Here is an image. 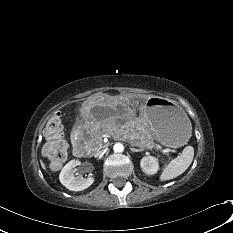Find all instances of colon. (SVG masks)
Segmentation results:
<instances>
[{
    "mask_svg": "<svg viewBox=\"0 0 233 233\" xmlns=\"http://www.w3.org/2000/svg\"><path fill=\"white\" fill-rule=\"evenodd\" d=\"M44 134L47 140L43 152L53 167H60L67 157V144L62 136V120L59 114L48 121Z\"/></svg>",
    "mask_w": 233,
    "mask_h": 233,
    "instance_id": "colon-1",
    "label": "colon"
}]
</instances>
